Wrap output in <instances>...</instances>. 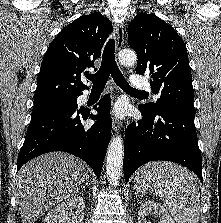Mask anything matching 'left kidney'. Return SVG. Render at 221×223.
Segmentation results:
<instances>
[{"label":"left kidney","instance_id":"1","mask_svg":"<svg viewBox=\"0 0 221 223\" xmlns=\"http://www.w3.org/2000/svg\"><path fill=\"white\" fill-rule=\"evenodd\" d=\"M152 211L160 217L158 223H175L166 209L154 201H145L141 204L138 211V223H147L146 216Z\"/></svg>","mask_w":221,"mask_h":223}]
</instances>
